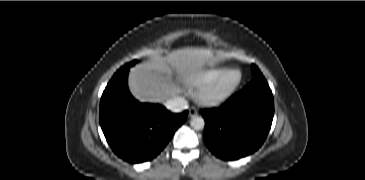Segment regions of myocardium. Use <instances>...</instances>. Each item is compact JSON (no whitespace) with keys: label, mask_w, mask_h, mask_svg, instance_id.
<instances>
[{"label":"myocardium","mask_w":365,"mask_h":180,"mask_svg":"<svg viewBox=\"0 0 365 180\" xmlns=\"http://www.w3.org/2000/svg\"><path fill=\"white\" fill-rule=\"evenodd\" d=\"M237 73V80L223 91L216 89L218 83L224 79L227 75ZM242 72L237 68H228L223 70L218 76H216L209 83L201 87L197 93V100L204 106L215 107L226 103L232 98L237 89L242 83Z\"/></svg>","instance_id":"1"}]
</instances>
